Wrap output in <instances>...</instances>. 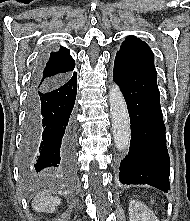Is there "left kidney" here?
I'll return each mask as SVG.
<instances>
[{"label": "left kidney", "mask_w": 190, "mask_h": 221, "mask_svg": "<svg viewBox=\"0 0 190 221\" xmlns=\"http://www.w3.org/2000/svg\"><path fill=\"white\" fill-rule=\"evenodd\" d=\"M130 221H159L155 214L143 203L131 200L129 203Z\"/></svg>", "instance_id": "obj_1"}]
</instances>
